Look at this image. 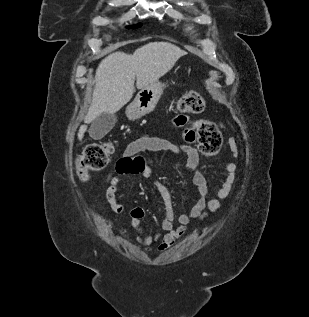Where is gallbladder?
I'll return each mask as SVG.
<instances>
[{
  "mask_svg": "<svg viewBox=\"0 0 309 317\" xmlns=\"http://www.w3.org/2000/svg\"><path fill=\"white\" fill-rule=\"evenodd\" d=\"M117 117L115 114L102 113L92 121L89 135L94 140L103 138L116 124Z\"/></svg>",
  "mask_w": 309,
  "mask_h": 317,
  "instance_id": "gallbladder-1",
  "label": "gallbladder"
}]
</instances>
